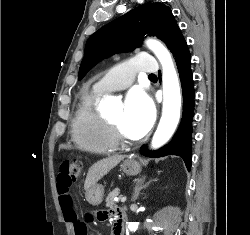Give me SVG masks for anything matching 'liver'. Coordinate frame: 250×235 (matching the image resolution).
<instances>
[{
  "label": "liver",
  "mask_w": 250,
  "mask_h": 235,
  "mask_svg": "<svg viewBox=\"0 0 250 235\" xmlns=\"http://www.w3.org/2000/svg\"><path fill=\"white\" fill-rule=\"evenodd\" d=\"M124 157L125 156L123 155L110 156L93 164L88 170L84 183V189L88 191L115 166H117L119 162L124 159Z\"/></svg>",
  "instance_id": "obj_1"
}]
</instances>
